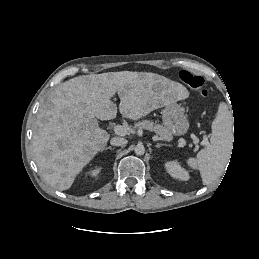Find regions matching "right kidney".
I'll return each mask as SVG.
<instances>
[{
	"instance_id": "right-kidney-1",
	"label": "right kidney",
	"mask_w": 259,
	"mask_h": 259,
	"mask_svg": "<svg viewBox=\"0 0 259 259\" xmlns=\"http://www.w3.org/2000/svg\"><path fill=\"white\" fill-rule=\"evenodd\" d=\"M99 172H100V168H95L90 172V174L91 176H97Z\"/></svg>"
}]
</instances>
